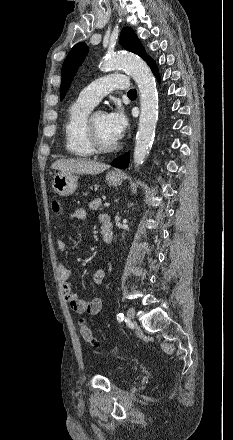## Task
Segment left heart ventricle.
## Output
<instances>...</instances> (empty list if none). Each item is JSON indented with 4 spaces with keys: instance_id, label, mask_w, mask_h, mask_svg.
<instances>
[{
    "instance_id": "b2bd125f",
    "label": "left heart ventricle",
    "mask_w": 233,
    "mask_h": 440,
    "mask_svg": "<svg viewBox=\"0 0 233 440\" xmlns=\"http://www.w3.org/2000/svg\"><path fill=\"white\" fill-rule=\"evenodd\" d=\"M93 123H94L95 130L97 132L98 138L103 144L109 145V144H112L117 141L113 137V135L111 134V132L108 128L107 121H106V115L104 113L98 112L94 116Z\"/></svg>"
}]
</instances>
